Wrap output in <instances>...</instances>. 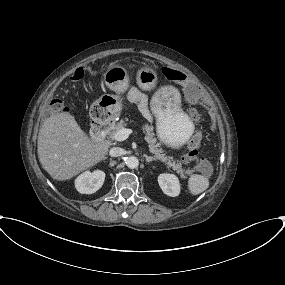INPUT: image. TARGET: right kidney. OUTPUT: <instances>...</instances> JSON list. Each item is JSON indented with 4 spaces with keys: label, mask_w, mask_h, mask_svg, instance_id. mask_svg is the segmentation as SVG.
<instances>
[{
    "label": "right kidney",
    "mask_w": 285,
    "mask_h": 285,
    "mask_svg": "<svg viewBox=\"0 0 285 285\" xmlns=\"http://www.w3.org/2000/svg\"><path fill=\"white\" fill-rule=\"evenodd\" d=\"M104 180L105 173L103 171H86L77 177L75 187L82 194H92L102 187Z\"/></svg>",
    "instance_id": "1"
}]
</instances>
